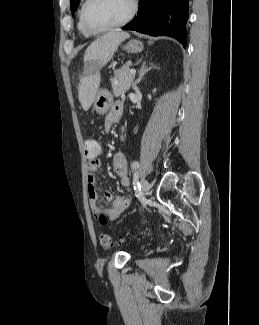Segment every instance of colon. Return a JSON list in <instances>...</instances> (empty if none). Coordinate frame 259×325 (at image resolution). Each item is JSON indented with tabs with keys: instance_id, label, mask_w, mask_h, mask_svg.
Masks as SVG:
<instances>
[{
	"instance_id": "colon-1",
	"label": "colon",
	"mask_w": 259,
	"mask_h": 325,
	"mask_svg": "<svg viewBox=\"0 0 259 325\" xmlns=\"http://www.w3.org/2000/svg\"><path fill=\"white\" fill-rule=\"evenodd\" d=\"M98 148H99V143L95 139L93 138L85 139L84 150L87 157L95 156L98 153ZM96 217L102 223L105 222L107 219L105 212L102 210H98ZM99 242L101 246L106 249L112 248L114 246V240L107 233L99 234Z\"/></svg>"
}]
</instances>
